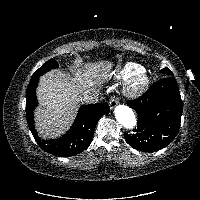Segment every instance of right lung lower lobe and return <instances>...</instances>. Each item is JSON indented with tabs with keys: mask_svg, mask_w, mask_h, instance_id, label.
Masks as SVG:
<instances>
[{
	"mask_svg": "<svg viewBox=\"0 0 200 200\" xmlns=\"http://www.w3.org/2000/svg\"><path fill=\"white\" fill-rule=\"evenodd\" d=\"M39 78L30 80L26 90V117L28 126L38 143L46 152L58 156H73L86 150L90 145L98 120L110 108L107 103H98L82 106L71 129L61 138L42 140L38 137L34 125V109L38 105L36 87Z\"/></svg>",
	"mask_w": 200,
	"mask_h": 200,
	"instance_id": "right-lung-lower-lobe-1",
	"label": "right lung lower lobe"
}]
</instances>
